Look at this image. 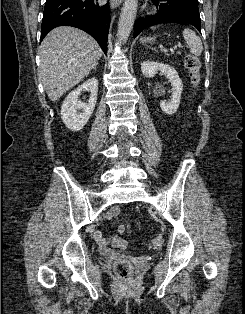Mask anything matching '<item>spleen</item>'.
Segmentation results:
<instances>
[{
    "mask_svg": "<svg viewBox=\"0 0 245 314\" xmlns=\"http://www.w3.org/2000/svg\"><path fill=\"white\" fill-rule=\"evenodd\" d=\"M155 28L156 27H152V30ZM183 38L190 49V53L194 54L195 56H200L203 50L200 37H198L193 30L186 28L183 31Z\"/></svg>",
    "mask_w": 245,
    "mask_h": 314,
    "instance_id": "obj_1",
    "label": "spleen"
}]
</instances>
